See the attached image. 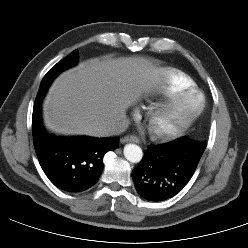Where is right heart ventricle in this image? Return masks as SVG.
<instances>
[{
    "mask_svg": "<svg viewBox=\"0 0 248 248\" xmlns=\"http://www.w3.org/2000/svg\"><path fill=\"white\" fill-rule=\"evenodd\" d=\"M190 89H194L193 80L181 71L172 70L167 75L162 94L164 96L177 95Z\"/></svg>",
    "mask_w": 248,
    "mask_h": 248,
    "instance_id": "obj_1",
    "label": "right heart ventricle"
}]
</instances>
